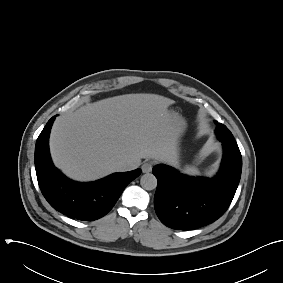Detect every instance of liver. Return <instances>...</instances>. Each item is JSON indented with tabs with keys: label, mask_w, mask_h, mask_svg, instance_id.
<instances>
[{
	"label": "liver",
	"mask_w": 283,
	"mask_h": 283,
	"mask_svg": "<svg viewBox=\"0 0 283 283\" xmlns=\"http://www.w3.org/2000/svg\"><path fill=\"white\" fill-rule=\"evenodd\" d=\"M174 103L155 94H126L82 106L55 121L52 159L79 181L118 171L120 160L137 167L142 158L172 162L177 150L168 107Z\"/></svg>",
	"instance_id": "obj_1"
}]
</instances>
